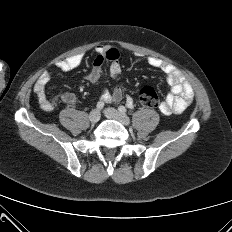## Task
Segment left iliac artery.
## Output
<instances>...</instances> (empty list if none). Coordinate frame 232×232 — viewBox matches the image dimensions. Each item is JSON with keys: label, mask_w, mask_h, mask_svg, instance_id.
<instances>
[{"label": "left iliac artery", "mask_w": 232, "mask_h": 232, "mask_svg": "<svg viewBox=\"0 0 232 232\" xmlns=\"http://www.w3.org/2000/svg\"><path fill=\"white\" fill-rule=\"evenodd\" d=\"M129 108H131L133 106V104L131 106L127 105ZM118 110L122 113H125L127 111V109L124 106H119Z\"/></svg>", "instance_id": "1"}]
</instances>
